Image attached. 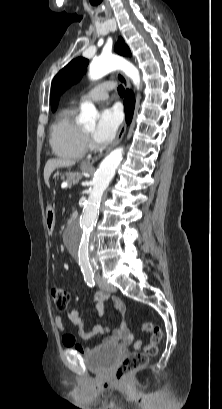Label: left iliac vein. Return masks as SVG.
Returning <instances> with one entry per match:
<instances>
[{
    "label": "left iliac vein",
    "mask_w": 222,
    "mask_h": 409,
    "mask_svg": "<svg viewBox=\"0 0 222 409\" xmlns=\"http://www.w3.org/2000/svg\"><path fill=\"white\" fill-rule=\"evenodd\" d=\"M98 284L100 285L101 289L107 293L116 292V287L110 283H108L105 279L98 277L97 278Z\"/></svg>",
    "instance_id": "obj_1"
}]
</instances>
